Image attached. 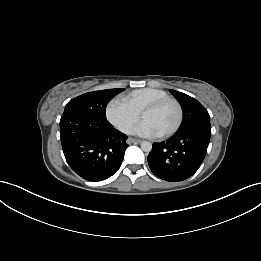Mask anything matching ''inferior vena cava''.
<instances>
[{
    "instance_id": "1",
    "label": "inferior vena cava",
    "mask_w": 261,
    "mask_h": 261,
    "mask_svg": "<svg viewBox=\"0 0 261 261\" xmlns=\"http://www.w3.org/2000/svg\"><path fill=\"white\" fill-rule=\"evenodd\" d=\"M133 132H134V129L133 128H131V127H129V128H127L126 130H125V133L126 134H133Z\"/></svg>"
}]
</instances>
